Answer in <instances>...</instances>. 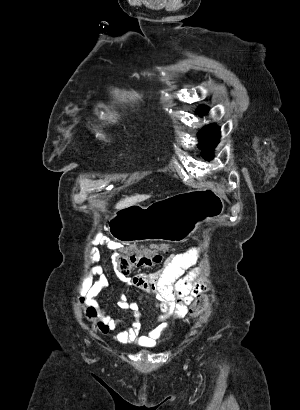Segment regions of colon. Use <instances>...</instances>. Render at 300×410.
I'll list each match as a JSON object with an SVG mask.
<instances>
[{
    "label": "colon",
    "mask_w": 300,
    "mask_h": 410,
    "mask_svg": "<svg viewBox=\"0 0 300 410\" xmlns=\"http://www.w3.org/2000/svg\"><path fill=\"white\" fill-rule=\"evenodd\" d=\"M164 259V252L157 249H133L113 257L114 267L123 275H129L137 269H149L160 265ZM208 307V300L204 295H198L190 312L197 317Z\"/></svg>",
    "instance_id": "1"
}]
</instances>
